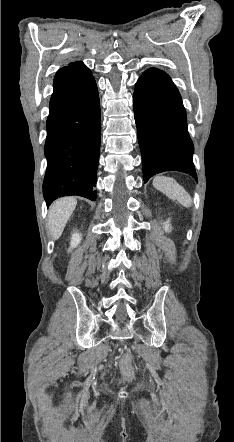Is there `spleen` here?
<instances>
[{
	"instance_id": "spleen-1",
	"label": "spleen",
	"mask_w": 234,
	"mask_h": 442,
	"mask_svg": "<svg viewBox=\"0 0 234 442\" xmlns=\"http://www.w3.org/2000/svg\"><path fill=\"white\" fill-rule=\"evenodd\" d=\"M153 186L164 193L168 198L177 200L184 207L192 205V198L188 192L176 182L175 179L167 176H156L152 182Z\"/></svg>"
}]
</instances>
